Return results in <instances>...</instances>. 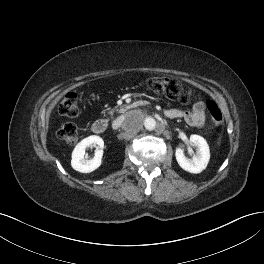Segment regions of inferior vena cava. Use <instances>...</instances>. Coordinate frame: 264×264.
Segmentation results:
<instances>
[{
	"mask_svg": "<svg viewBox=\"0 0 264 264\" xmlns=\"http://www.w3.org/2000/svg\"><path fill=\"white\" fill-rule=\"evenodd\" d=\"M124 122L123 118H117L116 120H114L112 127L113 129H117L118 127H120L122 125V123Z\"/></svg>",
	"mask_w": 264,
	"mask_h": 264,
	"instance_id": "602c4592",
	"label": "inferior vena cava"
}]
</instances>
